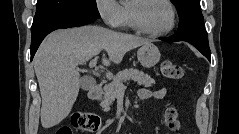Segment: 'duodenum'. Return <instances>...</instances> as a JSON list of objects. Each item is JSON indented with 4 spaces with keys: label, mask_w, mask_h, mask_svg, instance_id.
<instances>
[{
    "label": "duodenum",
    "mask_w": 239,
    "mask_h": 134,
    "mask_svg": "<svg viewBox=\"0 0 239 134\" xmlns=\"http://www.w3.org/2000/svg\"><path fill=\"white\" fill-rule=\"evenodd\" d=\"M101 90H102V86H101V83H97L95 84L93 87H91L89 89V92H88V96L89 98L94 101L96 99H98L101 95Z\"/></svg>",
    "instance_id": "1"
}]
</instances>
